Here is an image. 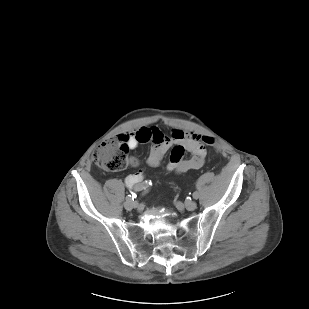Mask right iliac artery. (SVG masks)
<instances>
[{
	"mask_svg": "<svg viewBox=\"0 0 309 309\" xmlns=\"http://www.w3.org/2000/svg\"><path fill=\"white\" fill-rule=\"evenodd\" d=\"M145 181H147L148 182V185L147 186H145L144 187V189H148V188H150V186L152 185V182L149 180V179H146ZM132 188V187H131ZM142 193H143V190L141 191V195L140 196H142ZM140 196H139V198H140ZM147 196H148V193H147ZM146 196V197H147ZM143 197V196H142ZM145 198V197H144ZM133 199V196L132 195H126V200H132Z\"/></svg>",
	"mask_w": 309,
	"mask_h": 309,
	"instance_id": "obj_1",
	"label": "right iliac artery"
}]
</instances>
